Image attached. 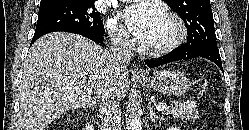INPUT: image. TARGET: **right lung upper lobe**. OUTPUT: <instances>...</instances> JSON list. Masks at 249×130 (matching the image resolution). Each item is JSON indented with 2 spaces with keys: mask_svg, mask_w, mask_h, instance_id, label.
Listing matches in <instances>:
<instances>
[{
  "mask_svg": "<svg viewBox=\"0 0 249 130\" xmlns=\"http://www.w3.org/2000/svg\"><path fill=\"white\" fill-rule=\"evenodd\" d=\"M63 1L65 0H41L40 6H49V5L61 3Z\"/></svg>",
  "mask_w": 249,
  "mask_h": 130,
  "instance_id": "cb5924a9",
  "label": "right lung upper lobe"
}]
</instances>
